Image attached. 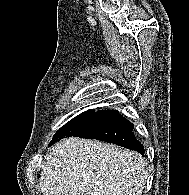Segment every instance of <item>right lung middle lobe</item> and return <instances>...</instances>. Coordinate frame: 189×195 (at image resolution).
Returning a JSON list of instances; mask_svg holds the SVG:
<instances>
[{
    "mask_svg": "<svg viewBox=\"0 0 189 195\" xmlns=\"http://www.w3.org/2000/svg\"><path fill=\"white\" fill-rule=\"evenodd\" d=\"M94 113L95 111L90 109L74 117L56 132L49 146L63 138L76 134L90 120Z\"/></svg>",
    "mask_w": 189,
    "mask_h": 195,
    "instance_id": "right-lung-middle-lobe-1",
    "label": "right lung middle lobe"
}]
</instances>
